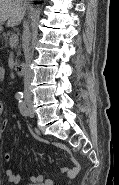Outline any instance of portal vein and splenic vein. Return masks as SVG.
<instances>
[{
	"mask_svg": "<svg viewBox=\"0 0 119 185\" xmlns=\"http://www.w3.org/2000/svg\"><path fill=\"white\" fill-rule=\"evenodd\" d=\"M9 44L11 47H15L18 44V36L13 35L12 37H10Z\"/></svg>",
	"mask_w": 119,
	"mask_h": 185,
	"instance_id": "portal-vein-and-splenic-vein-1",
	"label": "portal vein and splenic vein"
}]
</instances>
